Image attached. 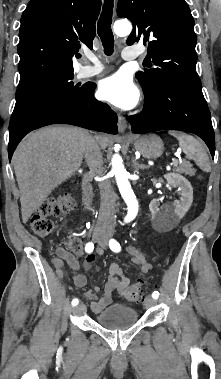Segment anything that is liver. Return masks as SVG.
<instances>
[{"instance_id":"obj_1","label":"liver","mask_w":221,"mask_h":379,"mask_svg":"<svg viewBox=\"0 0 221 379\" xmlns=\"http://www.w3.org/2000/svg\"><path fill=\"white\" fill-rule=\"evenodd\" d=\"M90 137L81 128L49 126L30 133L20 142L12 162L23 223L59 184L80 168ZM95 139L102 149L107 147L106 136L98 135Z\"/></svg>"}]
</instances>
